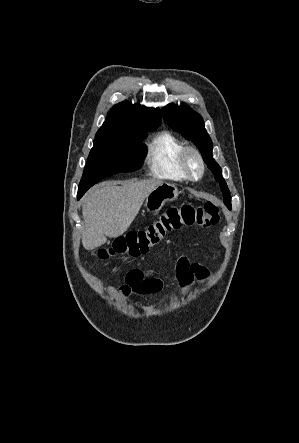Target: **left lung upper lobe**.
Returning a JSON list of instances; mask_svg holds the SVG:
<instances>
[{
	"mask_svg": "<svg viewBox=\"0 0 299 443\" xmlns=\"http://www.w3.org/2000/svg\"><path fill=\"white\" fill-rule=\"evenodd\" d=\"M165 122L175 131L182 133L187 139L195 143L202 153L208 168L219 182L224 196V203L231 208V196L225 180L222 177L220 166L212 157L213 144L204 128L201 116L188 107H178L169 104L162 110Z\"/></svg>",
	"mask_w": 299,
	"mask_h": 443,
	"instance_id": "left-lung-upper-lobe-1",
	"label": "left lung upper lobe"
}]
</instances>
